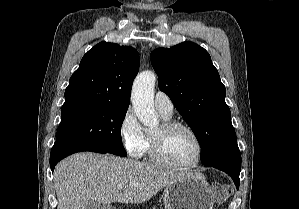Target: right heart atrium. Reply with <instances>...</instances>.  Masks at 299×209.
Wrapping results in <instances>:
<instances>
[{
  "label": "right heart atrium",
  "mask_w": 299,
  "mask_h": 209,
  "mask_svg": "<svg viewBox=\"0 0 299 209\" xmlns=\"http://www.w3.org/2000/svg\"><path fill=\"white\" fill-rule=\"evenodd\" d=\"M119 134L126 152L138 158L142 156L147 144V135L132 108H128L119 125Z\"/></svg>",
  "instance_id": "d8ad5b80"
}]
</instances>
